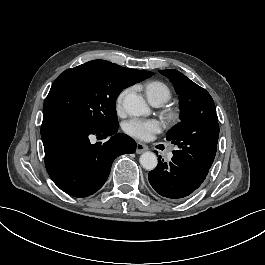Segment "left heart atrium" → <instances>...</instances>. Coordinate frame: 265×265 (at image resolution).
I'll list each match as a JSON object with an SVG mask.
<instances>
[{
  "label": "left heart atrium",
  "mask_w": 265,
  "mask_h": 265,
  "mask_svg": "<svg viewBox=\"0 0 265 265\" xmlns=\"http://www.w3.org/2000/svg\"><path fill=\"white\" fill-rule=\"evenodd\" d=\"M162 130V125L157 120L132 119L125 125V132L139 140H150L155 133Z\"/></svg>",
  "instance_id": "39dd6f15"
}]
</instances>
